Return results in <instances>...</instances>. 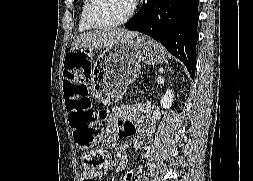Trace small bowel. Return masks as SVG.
<instances>
[{"mask_svg":"<svg viewBox=\"0 0 253 181\" xmlns=\"http://www.w3.org/2000/svg\"><path fill=\"white\" fill-rule=\"evenodd\" d=\"M80 63L78 70L82 75L87 78L90 71V59L86 53H79ZM134 117V110L130 107L122 106L114 109L112 112L107 127L108 140L110 142L116 141L118 138L133 136L136 134V127L130 122ZM114 166L113 162H110L107 166V170ZM133 170H129L122 181H133ZM81 181H93V176L87 171H84L80 175Z\"/></svg>","mask_w":253,"mask_h":181,"instance_id":"c3829d8e","label":"small bowel"}]
</instances>
